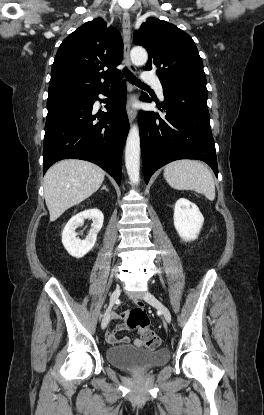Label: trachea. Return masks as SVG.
Returning a JSON list of instances; mask_svg holds the SVG:
<instances>
[{
  "label": "trachea",
  "mask_w": 264,
  "mask_h": 415,
  "mask_svg": "<svg viewBox=\"0 0 264 415\" xmlns=\"http://www.w3.org/2000/svg\"><path fill=\"white\" fill-rule=\"evenodd\" d=\"M123 73L130 83L134 85H138V86L148 87L146 84L141 82L137 77H135L133 73L130 70H128L126 67L123 69Z\"/></svg>",
  "instance_id": "3493384b"
}]
</instances>
